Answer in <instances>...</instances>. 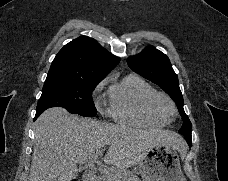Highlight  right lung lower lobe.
I'll return each mask as SVG.
<instances>
[{"label": "right lung lower lobe", "instance_id": "obj_1", "mask_svg": "<svg viewBox=\"0 0 228 181\" xmlns=\"http://www.w3.org/2000/svg\"><path fill=\"white\" fill-rule=\"evenodd\" d=\"M38 116H39V115H36V116H35V119H36Z\"/></svg>", "mask_w": 228, "mask_h": 181}]
</instances>
